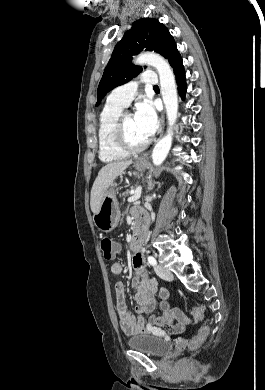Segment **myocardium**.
I'll list each match as a JSON object with an SVG mask.
<instances>
[{
  "instance_id": "myocardium-1",
  "label": "myocardium",
  "mask_w": 265,
  "mask_h": 390,
  "mask_svg": "<svg viewBox=\"0 0 265 390\" xmlns=\"http://www.w3.org/2000/svg\"><path fill=\"white\" fill-rule=\"evenodd\" d=\"M131 115L129 112H122L120 116L118 117V120L115 125L114 129V139L115 143L118 146L119 149H121L126 154H136L142 152L149 144V141L146 140L140 145H132L126 136L125 129H124V120L125 118Z\"/></svg>"
}]
</instances>
